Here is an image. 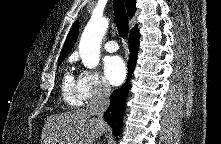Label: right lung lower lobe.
Wrapping results in <instances>:
<instances>
[{
  "mask_svg": "<svg viewBox=\"0 0 221 144\" xmlns=\"http://www.w3.org/2000/svg\"><path fill=\"white\" fill-rule=\"evenodd\" d=\"M139 37L140 34L138 30L130 33V38H129L130 57L128 61V80L122 86L121 89L115 90L113 92L110 100V106L104 114L105 120L113 129L114 135H118L121 131V123L123 120V113L125 110L124 105L128 95L131 74L133 72L137 59V53L139 48Z\"/></svg>",
  "mask_w": 221,
  "mask_h": 144,
  "instance_id": "1",
  "label": "right lung lower lobe"
}]
</instances>
